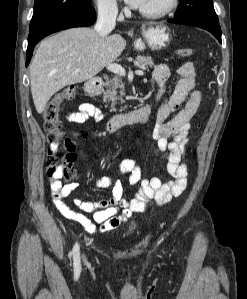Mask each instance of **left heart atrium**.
<instances>
[{"instance_id": "left-heart-atrium-1", "label": "left heart atrium", "mask_w": 247, "mask_h": 299, "mask_svg": "<svg viewBox=\"0 0 247 299\" xmlns=\"http://www.w3.org/2000/svg\"><path fill=\"white\" fill-rule=\"evenodd\" d=\"M126 3L135 8H141L145 0H124Z\"/></svg>"}]
</instances>
